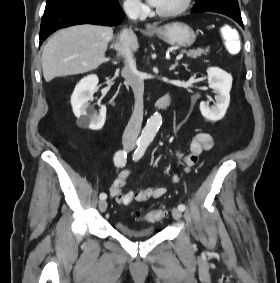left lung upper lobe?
I'll use <instances>...</instances> for the list:
<instances>
[{
	"mask_svg": "<svg viewBox=\"0 0 280 283\" xmlns=\"http://www.w3.org/2000/svg\"><path fill=\"white\" fill-rule=\"evenodd\" d=\"M192 10H206L241 18L238 0H196Z\"/></svg>",
	"mask_w": 280,
	"mask_h": 283,
	"instance_id": "obj_1",
	"label": "left lung upper lobe"
}]
</instances>
